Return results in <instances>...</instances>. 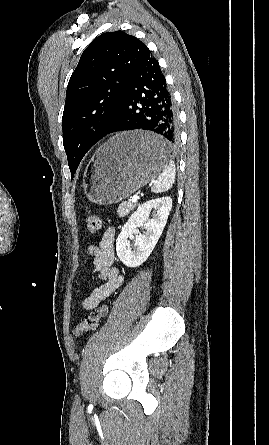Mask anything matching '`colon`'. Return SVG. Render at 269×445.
<instances>
[{
  "label": "colon",
  "instance_id": "5ec220e1",
  "mask_svg": "<svg viewBox=\"0 0 269 445\" xmlns=\"http://www.w3.org/2000/svg\"><path fill=\"white\" fill-rule=\"evenodd\" d=\"M86 227L90 234L99 232L102 227L101 218L96 214L89 215L86 220ZM106 313L107 307L101 306L95 314L85 316L84 319L75 326L73 330L74 336L77 338L86 332L97 329L101 319L105 317Z\"/></svg>",
  "mask_w": 269,
  "mask_h": 445
}]
</instances>
